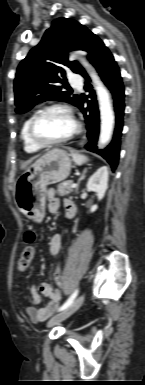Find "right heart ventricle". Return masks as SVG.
Wrapping results in <instances>:
<instances>
[{"instance_id":"e07e8e85","label":"right heart ventricle","mask_w":145,"mask_h":385,"mask_svg":"<svg viewBox=\"0 0 145 385\" xmlns=\"http://www.w3.org/2000/svg\"><path fill=\"white\" fill-rule=\"evenodd\" d=\"M33 115L29 116L23 123L22 125V128H21V139H22V142H23V147H24V150L27 152V153H36L38 152L41 148L35 146L29 139V136H28V127H29V124H30V121L32 119Z\"/></svg>"}]
</instances>
